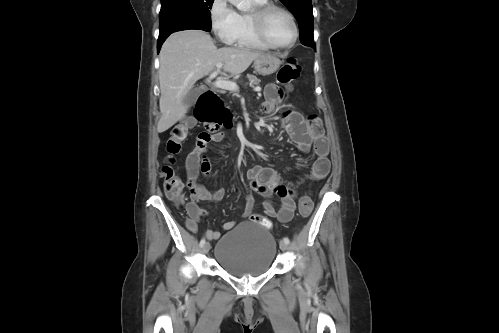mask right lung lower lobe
<instances>
[{
    "mask_svg": "<svg viewBox=\"0 0 499 333\" xmlns=\"http://www.w3.org/2000/svg\"><path fill=\"white\" fill-rule=\"evenodd\" d=\"M170 35V34H169ZM169 35H165V36H159L158 38V43H157V49H158V53L160 51V48L163 44V42L166 40V38L169 36Z\"/></svg>",
    "mask_w": 499,
    "mask_h": 333,
    "instance_id": "right-lung-lower-lobe-1",
    "label": "right lung lower lobe"
}]
</instances>
